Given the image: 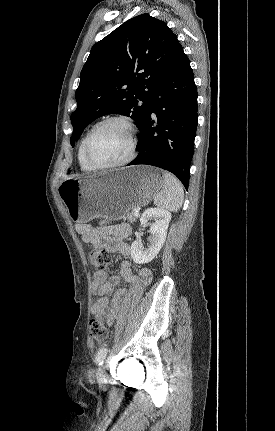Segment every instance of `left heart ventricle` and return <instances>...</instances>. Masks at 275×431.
Here are the masks:
<instances>
[{
	"label": "left heart ventricle",
	"mask_w": 275,
	"mask_h": 431,
	"mask_svg": "<svg viewBox=\"0 0 275 431\" xmlns=\"http://www.w3.org/2000/svg\"><path fill=\"white\" fill-rule=\"evenodd\" d=\"M130 149L127 128L112 122L101 127L91 138L88 146L90 159L96 164H111L124 159Z\"/></svg>",
	"instance_id": "1"
}]
</instances>
